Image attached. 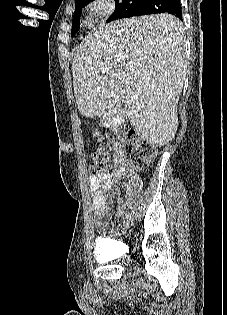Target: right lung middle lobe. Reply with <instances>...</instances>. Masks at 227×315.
Returning <instances> with one entry per match:
<instances>
[{
	"label": "right lung middle lobe",
	"instance_id": "1",
	"mask_svg": "<svg viewBox=\"0 0 227 315\" xmlns=\"http://www.w3.org/2000/svg\"><path fill=\"white\" fill-rule=\"evenodd\" d=\"M93 0H76L75 2V13L72 20V30L71 35H75L79 30L80 16L82 8ZM145 0H115V10L114 13L107 19L106 22H110L116 19H120L122 12L128 7H138Z\"/></svg>",
	"mask_w": 227,
	"mask_h": 315
}]
</instances>
